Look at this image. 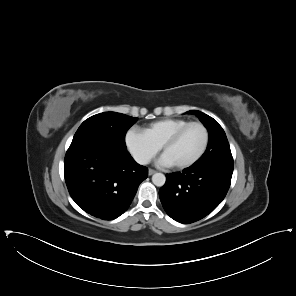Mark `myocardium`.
Instances as JSON below:
<instances>
[{"mask_svg":"<svg viewBox=\"0 0 296 296\" xmlns=\"http://www.w3.org/2000/svg\"><path fill=\"white\" fill-rule=\"evenodd\" d=\"M191 126H199L203 130L204 143H203L200 151L192 159L182 162V163L173 164V166L176 168H186V167L192 166L193 164L198 162L206 152V149H207V146L209 143V133H208L207 128L200 122H189L188 124H186L185 126L180 128L179 130H177L175 133H173L163 144L162 152L165 153V151L168 149V147H170L173 143H175L178 140V138L181 136V134Z\"/></svg>","mask_w":296,"mask_h":296,"instance_id":"f54148a6","label":"myocardium"}]
</instances>
